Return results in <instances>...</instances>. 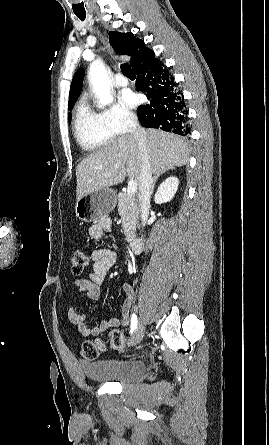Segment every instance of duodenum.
Returning <instances> with one entry per match:
<instances>
[{
  "instance_id": "obj_1",
  "label": "duodenum",
  "mask_w": 269,
  "mask_h": 445,
  "mask_svg": "<svg viewBox=\"0 0 269 445\" xmlns=\"http://www.w3.org/2000/svg\"><path fill=\"white\" fill-rule=\"evenodd\" d=\"M145 240H146V235H142L140 237L134 238L131 242H130V249L133 253H138L140 252L145 244Z\"/></svg>"
}]
</instances>
